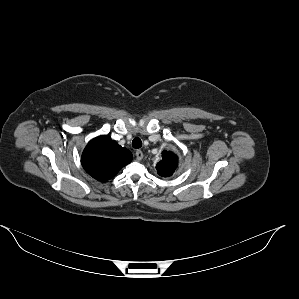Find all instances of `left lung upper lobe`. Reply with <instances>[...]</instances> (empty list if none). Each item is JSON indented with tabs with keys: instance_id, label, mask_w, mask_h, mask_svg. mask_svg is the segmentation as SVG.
<instances>
[{
	"instance_id": "5c2ea615",
	"label": "left lung upper lobe",
	"mask_w": 299,
	"mask_h": 299,
	"mask_svg": "<svg viewBox=\"0 0 299 299\" xmlns=\"http://www.w3.org/2000/svg\"><path fill=\"white\" fill-rule=\"evenodd\" d=\"M178 165V157L168 151H163L162 160L157 163L156 169L160 176L169 177L173 174Z\"/></svg>"
}]
</instances>
